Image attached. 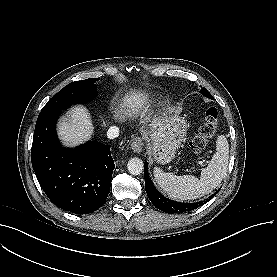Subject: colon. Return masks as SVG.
<instances>
[{
  "instance_id": "1",
  "label": "colon",
  "mask_w": 277,
  "mask_h": 277,
  "mask_svg": "<svg viewBox=\"0 0 277 277\" xmlns=\"http://www.w3.org/2000/svg\"><path fill=\"white\" fill-rule=\"evenodd\" d=\"M218 117L219 111L216 107H209L206 110L205 119L199 127V132L190 142L192 150L199 153L206 148L217 132Z\"/></svg>"
}]
</instances>
